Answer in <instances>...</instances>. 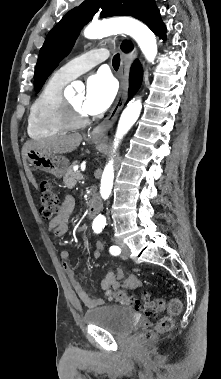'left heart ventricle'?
Returning a JSON list of instances; mask_svg holds the SVG:
<instances>
[{"mask_svg": "<svg viewBox=\"0 0 221 379\" xmlns=\"http://www.w3.org/2000/svg\"><path fill=\"white\" fill-rule=\"evenodd\" d=\"M69 101L76 107L78 108L79 110H81L82 112L83 109H82V104H83V101H84V97L82 95H78V96H75L73 98H70Z\"/></svg>", "mask_w": 221, "mask_h": 379, "instance_id": "obj_1", "label": "left heart ventricle"}]
</instances>
